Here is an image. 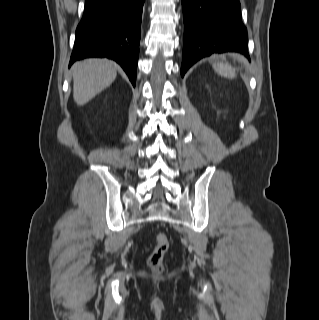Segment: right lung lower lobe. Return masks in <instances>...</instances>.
Returning a JSON list of instances; mask_svg holds the SVG:
<instances>
[{
    "instance_id": "right-lung-lower-lobe-1",
    "label": "right lung lower lobe",
    "mask_w": 319,
    "mask_h": 320,
    "mask_svg": "<svg viewBox=\"0 0 319 320\" xmlns=\"http://www.w3.org/2000/svg\"><path fill=\"white\" fill-rule=\"evenodd\" d=\"M145 0H85L70 65L85 57L118 62L135 86Z\"/></svg>"
}]
</instances>
